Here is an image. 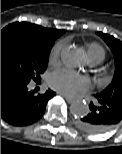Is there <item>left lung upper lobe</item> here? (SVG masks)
Here are the masks:
<instances>
[{"instance_id": "5c2ea615", "label": "left lung upper lobe", "mask_w": 122, "mask_h": 154, "mask_svg": "<svg viewBox=\"0 0 122 154\" xmlns=\"http://www.w3.org/2000/svg\"><path fill=\"white\" fill-rule=\"evenodd\" d=\"M99 35L111 48L115 58V74L112 82L102 92L108 96H116L122 100V42L108 34L99 32Z\"/></svg>"}]
</instances>
